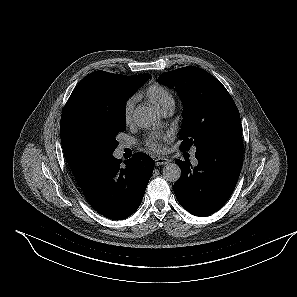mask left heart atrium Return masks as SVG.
I'll use <instances>...</instances> for the list:
<instances>
[{"label": "left heart atrium", "mask_w": 297, "mask_h": 297, "mask_svg": "<svg viewBox=\"0 0 297 297\" xmlns=\"http://www.w3.org/2000/svg\"><path fill=\"white\" fill-rule=\"evenodd\" d=\"M166 139L167 135L165 134H151L146 138L145 144L150 150L154 152H159L162 148V141Z\"/></svg>", "instance_id": "left-heart-atrium-1"}]
</instances>
